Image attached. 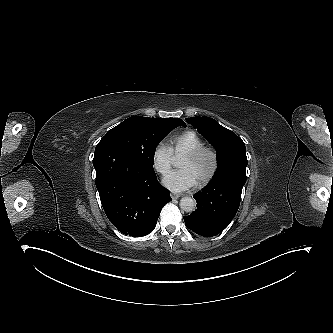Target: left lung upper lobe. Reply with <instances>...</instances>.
<instances>
[{"label": "left lung upper lobe", "instance_id": "obj_1", "mask_svg": "<svg viewBox=\"0 0 333 333\" xmlns=\"http://www.w3.org/2000/svg\"><path fill=\"white\" fill-rule=\"evenodd\" d=\"M212 145H214L219 167L212 180L232 183L246 176V148L240 137L209 117L186 118Z\"/></svg>", "mask_w": 333, "mask_h": 333}]
</instances>
